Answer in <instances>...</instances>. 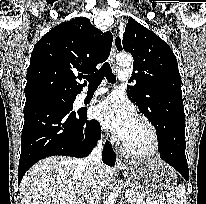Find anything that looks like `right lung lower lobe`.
<instances>
[{"label": "right lung lower lobe", "mask_w": 206, "mask_h": 204, "mask_svg": "<svg viewBox=\"0 0 206 204\" xmlns=\"http://www.w3.org/2000/svg\"><path fill=\"white\" fill-rule=\"evenodd\" d=\"M72 109L58 100L37 99L25 103L18 183L26 171L43 158L89 155L100 139V124L96 120H87L86 111ZM102 159L107 165L115 164L116 155L108 142Z\"/></svg>", "instance_id": "obj_1"}]
</instances>
